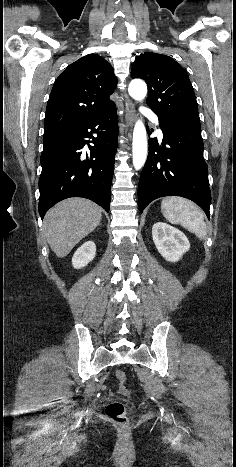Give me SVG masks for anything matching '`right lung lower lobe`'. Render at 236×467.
Masks as SVG:
<instances>
[{
    "label": "right lung lower lobe",
    "instance_id": "right-lung-lower-lobe-1",
    "mask_svg": "<svg viewBox=\"0 0 236 467\" xmlns=\"http://www.w3.org/2000/svg\"><path fill=\"white\" fill-rule=\"evenodd\" d=\"M117 135L118 116L113 106L85 123L43 136L41 218L54 204L69 197L90 199L109 212Z\"/></svg>",
    "mask_w": 236,
    "mask_h": 467
}]
</instances>
